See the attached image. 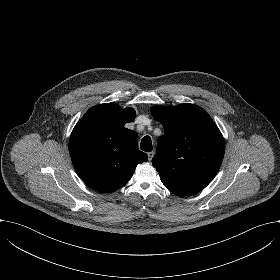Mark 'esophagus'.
Instances as JSON below:
<instances>
[{
  "label": "esophagus",
  "instance_id": "1",
  "mask_svg": "<svg viewBox=\"0 0 280 280\" xmlns=\"http://www.w3.org/2000/svg\"><path fill=\"white\" fill-rule=\"evenodd\" d=\"M154 154H155L154 151L148 152V153H147V156H148V160H149V161L152 160V158L154 157Z\"/></svg>",
  "mask_w": 280,
  "mask_h": 280
}]
</instances>
